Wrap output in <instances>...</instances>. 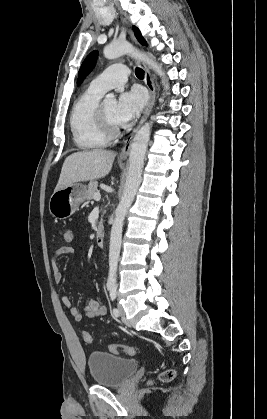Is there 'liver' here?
<instances>
[{"mask_svg":"<svg viewBox=\"0 0 267 419\" xmlns=\"http://www.w3.org/2000/svg\"><path fill=\"white\" fill-rule=\"evenodd\" d=\"M115 157V152L104 149L72 153L63 163L55 191L75 182L105 177L111 171Z\"/></svg>","mask_w":267,"mask_h":419,"instance_id":"1","label":"liver"}]
</instances>
